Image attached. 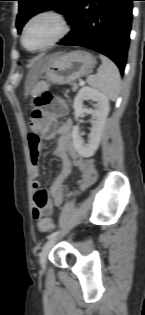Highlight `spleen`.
Wrapping results in <instances>:
<instances>
[{"label": "spleen", "mask_w": 145, "mask_h": 315, "mask_svg": "<svg viewBox=\"0 0 145 315\" xmlns=\"http://www.w3.org/2000/svg\"><path fill=\"white\" fill-rule=\"evenodd\" d=\"M102 65L96 75H90L87 83L102 92L111 100H116L120 93L121 79L117 66L104 55H100Z\"/></svg>", "instance_id": "obj_1"}]
</instances>
